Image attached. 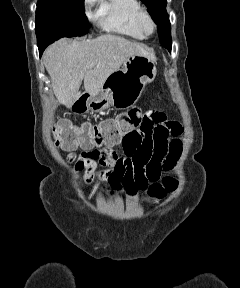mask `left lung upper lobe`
<instances>
[{
  "instance_id": "left-lung-upper-lobe-1",
  "label": "left lung upper lobe",
  "mask_w": 240,
  "mask_h": 288,
  "mask_svg": "<svg viewBox=\"0 0 240 288\" xmlns=\"http://www.w3.org/2000/svg\"><path fill=\"white\" fill-rule=\"evenodd\" d=\"M149 9L151 17L158 26L161 45L171 52V25L166 12V0H141Z\"/></svg>"
}]
</instances>
